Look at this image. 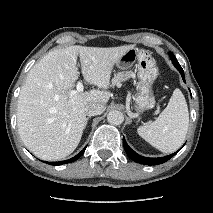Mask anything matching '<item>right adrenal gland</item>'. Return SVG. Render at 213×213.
<instances>
[{"instance_id":"right-adrenal-gland-1","label":"right adrenal gland","mask_w":213,"mask_h":213,"mask_svg":"<svg viewBox=\"0 0 213 213\" xmlns=\"http://www.w3.org/2000/svg\"><path fill=\"white\" fill-rule=\"evenodd\" d=\"M88 120H89V117H87L86 122H88Z\"/></svg>"}]
</instances>
